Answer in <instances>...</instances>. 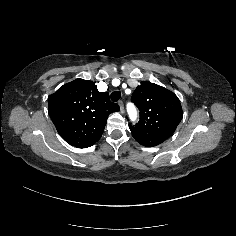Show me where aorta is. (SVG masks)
<instances>
[{"mask_svg":"<svg viewBox=\"0 0 236 236\" xmlns=\"http://www.w3.org/2000/svg\"><path fill=\"white\" fill-rule=\"evenodd\" d=\"M125 108H126V113L128 115V118L130 120L131 123H135L138 120V111L136 108V105L131 102V101H127L125 103Z\"/></svg>","mask_w":236,"mask_h":236,"instance_id":"762f6f07","label":"aorta"}]
</instances>
